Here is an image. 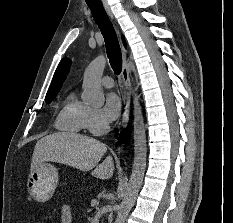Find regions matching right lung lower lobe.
I'll use <instances>...</instances> for the list:
<instances>
[{
    "label": "right lung lower lobe",
    "mask_w": 233,
    "mask_h": 223,
    "mask_svg": "<svg viewBox=\"0 0 233 223\" xmlns=\"http://www.w3.org/2000/svg\"><path fill=\"white\" fill-rule=\"evenodd\" d=\"M128 135H129V129L126 128V129H124L123 132L120 134L119 139L122 141V140H124L125 137H128Z\"/></svg>",
    "instance_id": "right-lung-lower-lobe-1"
}]
</instances>
